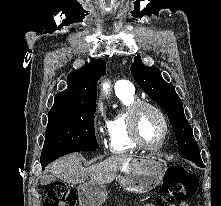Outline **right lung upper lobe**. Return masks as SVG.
<instances>
[{
    "label": "right lung upper lobe",
    "instance_id": "cb5924a9",
    "mask_svg": "<svg viewBox=\"0 0 221 206\" xmlns=\"http://www.w3.org/2000/svg\"><path fill=\"white\" fill-rule=\"evenodd\" d=\"M105 69V62L99 59L72 71L67 77V89L55 96L50 111L96 107V83L105 74Z\"/></svg>",
    "mask_w": 221,
    "mask_h": 206
}]
</instances>
